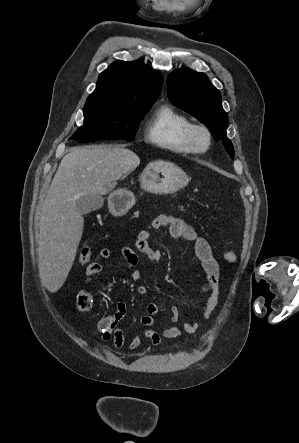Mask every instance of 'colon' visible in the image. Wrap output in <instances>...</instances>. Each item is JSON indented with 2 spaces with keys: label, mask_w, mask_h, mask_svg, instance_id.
<instances>
[{
  "label": "colon",
  "mask_w": 299,
  "mask_h": 443,
  "mask_svg": "<svg viewBox=\"0 0 299 443\" xmlns=\"http://www.w3.org/2000/svg\"><path fill=\"white\" fill-rule=\"evenodd\" d=\"M223 256L228 263H235L237 261V256L232 251H225ZM91 257H92L91 246L88 244L83 245L79 253L80 264L88 263Z\"/></svg>",
  "instance_id": "obj_1"
}]
</instances>
